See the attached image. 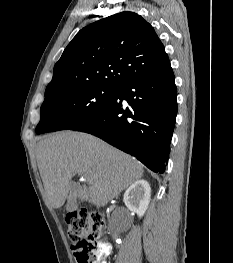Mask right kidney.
I'll list each match as a JSON object with an SVG mask.
<instances>
[{
  "mask_svg": "<svg viewBox=\"0 0 233 263\" xmlns=\"http://www.w3.org/2000/svg\"><path fill=\"white\" fill-rule=\"evenodd\" d=\"M150 197V184L146 180H137L126 190L123 201L130 211L142 217L148 208Z\"/></svg>",
  "mask_w": 233,
  "mask_h": 263,
  "instance_id": "ca27d5eb",
  "label": "right kidney"
}]
</instances>
